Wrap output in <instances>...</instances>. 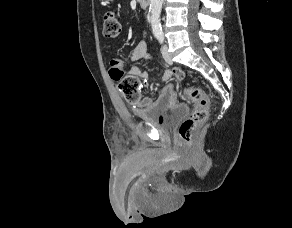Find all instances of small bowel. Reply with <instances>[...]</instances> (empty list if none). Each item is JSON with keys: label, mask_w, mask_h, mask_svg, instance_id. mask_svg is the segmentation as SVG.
<instances>
[{"label": "small bowel", "mask_w": 292, "mask_h": 228, "mask_svg": "<svg viewBox=\"0 0 292 228\" xmlns=\"http://www.w3.org/2000/svg\"><path fill=\"white\" fill-rule=\"evenodd\" d=\"M131 61H140V60H150L151 56L148 53L147 45L145 41H140L136 47L130 53ZM126 62L119 59V66L121 69L125 67ZM126 75L135 76L140 79L144 86L148 85L149 74L146 70L141 69L140 67L134 66L130 68ZM173 76H176L178 79L182 80L185 78V73L178 67H174L171 70H166L162 76L163 82H168ZM177 101L176 91L173 84H166L163 89L160 91L156 98L152 97H143L138 101L134 102L133 109L134 112L140 116L147 115H156L157 113L171 107Z\"/></svg>", "instance_id": "small-bowel-1"}]
</instances>
